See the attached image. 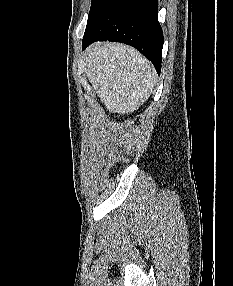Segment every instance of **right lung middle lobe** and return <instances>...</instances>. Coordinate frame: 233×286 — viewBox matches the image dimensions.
Wrapping results in <instances>:
<instances>
[{"instance_id": "obj_1", "label": "right lung middle lobe", "mask_w": 233, "mask_h": 286, "mask_svg": "<svg viewBox=\"0 0 233 286\" xmlns=\"http://www.w3.org/2000/svg\"><path fill=\"white\" fill-rule=\"evenodd\" d=\"M102 0H92L91 9L89 15L95 10Z\"/></svg>"}]
</instances>
